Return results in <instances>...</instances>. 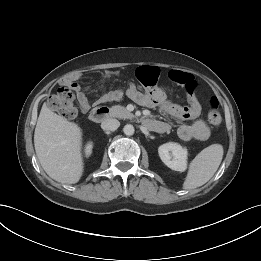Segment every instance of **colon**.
<instances>
[{
	"label": "colon",
	"instance_id": "obj_1",
	"mask_svg": "<svg viewBox=\"0 0 261 261\" xmlns=\"http://www.w3.org/2000/svg\"><path fill=\"white\" fill-rule=\"evenodd\" d=\"M50 107L66 119H73L77 115V109L74 104V95L71 87L64 85L58 89L57 93L49 99ZM208 121L213 127L221 124L222 118L218 111V102L215 98L211 100V109L208 113Z\"/></svg>",
	"mask_w": 261,
	"mask_h": 261
}]
</instances>
